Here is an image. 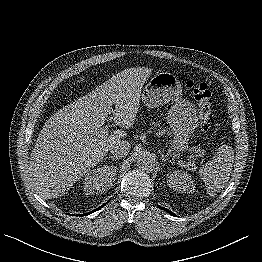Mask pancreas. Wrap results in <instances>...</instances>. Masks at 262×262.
<instances>
[{
	"instance_id": "1",
	"label": "pancreas",
	"mask_w": 262,
	"mask_h": 262,
	"mask_svg": "<svg viewBox=\"0 0 262 262\" xmlns=\"http://www.w3.org/2000/svg\"><path fill=\"white\" fill-rule=\"evenodd\" d=\"M152 124H155V126H157V125H159V123H155V122H152ZM165 131V130H164ZM189 165V164H188ZM194 165V163L193 164H191L190 166H193Z\"/></svg>"
}]
</instances>
